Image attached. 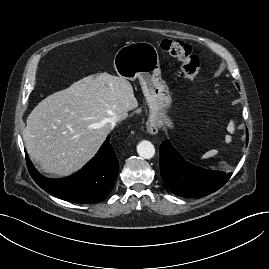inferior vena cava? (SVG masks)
I'll use <instances>...</instances> for the list:
<instances>
[{"instance_id": "inferior-vena-cava-1", "label": "inferior vena cava", "mask_w": 269, "mask_h": 269, "mask_svg": "<svg viewBox=\"0 0 269 269\" xmlns=\"http://www.w3.org/2000/svg\"><path fill=\"white\" fill-rule=\"evenodd\" d=\"M122 119L121 115H114L109 119V122L112 126H115L117 122H119Z\"/></svg>"}]
</instances>
